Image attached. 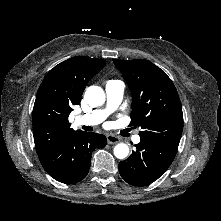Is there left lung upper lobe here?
<instances>
[{
	"mask_svg": "<svg viewBox=\"0 0 221 221\" xmlns=\"http://www.w3.org/2000/svg\"><path fill=\"white\" fill-rule=\"evenodd\" d=\"M132 94L131 123L140 137L178 147L183 113L176 88L167 74L145 59L114 60Z\"/></svg>",
	"mask_w": 221,
	"mask_h": 221,
	"instance_id": "obj_1",
	"label": "left lung upper lobe"
}]
</instances>
